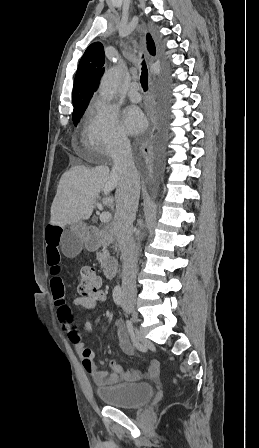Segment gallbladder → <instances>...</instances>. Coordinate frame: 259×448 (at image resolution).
Listing matches in <instances>:
<instances>
[{
    "instance_id": "bac80fb5",
    "label": "gallbladder",
    "mask_w": 259,
    "mask_h": 448,
    "mask_svg": "<svg viewBox=\"0 0 259 448\" xmlns=\"http://www.w3.org/2000/svg\"><path fill=\"white\" fill-rule=\"evenodd\" d=\"M61 250L67 258H76L84 248V242L77 236H73L68 230H64L60 242Z\"/></svg>"
}]
</instances>
